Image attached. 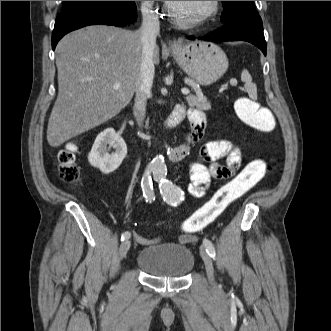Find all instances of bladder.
I'll use <instances>...</instances> for the list:
<instances>
[{
    "instance_id": "obj_1",
    "label": "bladder",
    "mask_w": 331,
    "mask_h": 331,
    "mask_svg": "<svg viewBox=\"0 0 331 331\" xmlns=\"http://www.w3.org/2000/svg\"><path fill=\"white\" fill-rule=\"evenodd\" d=\"M136 264L152 278L180 279L193 270L195 258L185 244L162 243L142 249Z\"/></svg>"
}]
</instances>
